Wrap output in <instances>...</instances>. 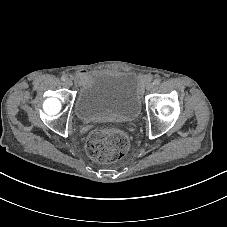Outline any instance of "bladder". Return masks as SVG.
Here are the masks:
<instances>
[{
	"instance_id": "31cf9c89",
	"label": "bladder",
	"mask_w": 227,
	"mask_h": 227,
	"mask_svg": "<svg viewBox=\"0 0 227 227\" xmlns=\"http://www.w3.org/2000/svg\"><path fill=\"white\" fill-rule=\"evenodd\" d=\"M142 109V93L136 75L96 73L75 100L73 110L81 121L116 117L136 121Z\"/></svg>"
}]
</instances>
